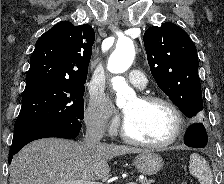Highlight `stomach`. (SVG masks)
<instances>
[{
    "label": "stomach",
    "instance_id": "obj_1",
    "mask_svg": "<svg viewBox=\"0 0 224 184\" xmlns=\"http://www.w3.org/2000/svg\"><path fill=\"white\" fill-rule=\"evenodd\" d=\"M163 159L160 155L145 151L134 159V166L143 175L151 176L158 173L163 167Z\"/></svg>",
    "mask_w": 224,
    "mask_h": 184
}]
</instances>
